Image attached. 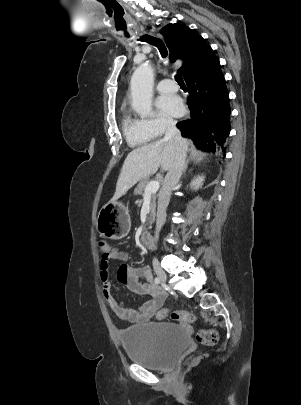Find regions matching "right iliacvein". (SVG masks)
<instances>
[{"label": "right iliac vein", "instance_id": "right-iliac-vein-1", "mask_svg": "<svg viewBox=\"0 0 301 405\" xmlns=\"http://www.w3.org/2000/svg\"><path fill=\"white\" fill-rule=\"evenodd\" d=\"M153 267H154V271H155L156 275L158 276V278L162 282H166L167 281V275L164 272V270L160 267L159 263L156 260L153 261Z\"/></svg>", "mask_w": 301, "mask_h": 405}]
</instances>
